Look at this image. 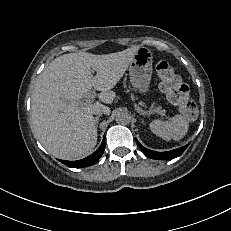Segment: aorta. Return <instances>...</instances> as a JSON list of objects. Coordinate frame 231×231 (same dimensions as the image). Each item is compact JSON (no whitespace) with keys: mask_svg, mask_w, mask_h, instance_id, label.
Returning <instances> with one entry per match:
<instances>
[{"mask_svg":"<svg viewBox=\"0 0 231 231\" xmlns=\"http://www.w3.org/2000/svg\"><path fill=\"white\" fill-rule=\"evenodd\" d=\"M115 120L118 124L127 125L131 121V116L126 111H120L116 114Z\"/></svg>","mask_w":231,"mask_h":231,"instance_id":"762f6f07","label":"aorta"}]
</instances>
